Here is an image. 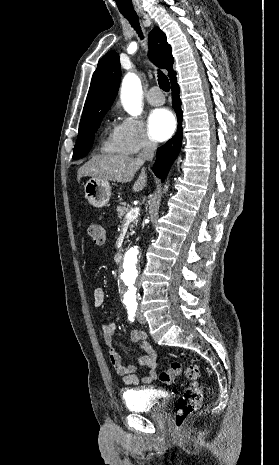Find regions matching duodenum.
<instances>
[{
	"mask_svg": "<svg viewBox=\"0 0 279 465\" xmlns=\"http://www.w3.org/2000/svg\"><path fill=\"white\" fill-rule=\"evenodd\" d=\"M123 259V252L122 251H118L115 256H114V260L116 263H120Z\"/></svg>",
	"mask_w": 279,
	"mask_h": 465,
	"instance_id": "410a0bca",
	"label": "duodenum"
}]
</instances>
